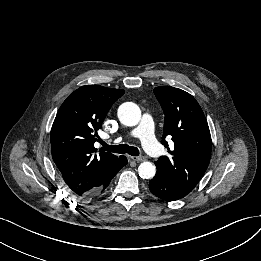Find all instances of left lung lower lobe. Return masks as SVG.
<instances>
[{"mask_svg":"<svg viewBox=\"0 0 261 261\" xmlns=\"http://www.w3.org/2000/svg\"><path fill=\"white\" fill-rule=\"evenodd\" d=\"M149 190L158 198L165 201H176L187 194L175 189L168 180L158 171L149 182Z\"/></svg>","mask_w":261,"mask_h":261,"instance_id":"1","label":"left lung lower lobe"}]
</instances>
